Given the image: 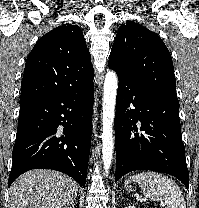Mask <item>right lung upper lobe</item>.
<instances>
[{
  "mask_svg": "<svg viewBox=\"0 0 199 208\" xmlns=\"http://www.w3.org/2000/svg\"><path fill=\"white\" fill-rule=\"evenodd\" d=\"M93 73L79 26L56 27L39 39L26 60L20 103L80 87Z\"/></svg>",
  "mask_w": 199,
  "mask_h": 208,
  "instance_id": "obj_1",
  "label": "right lung upper lobe"
}]
</instances>
